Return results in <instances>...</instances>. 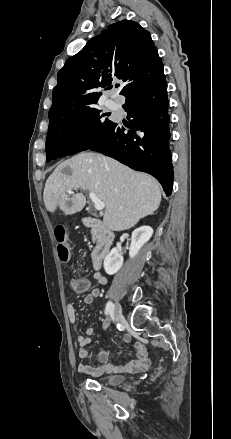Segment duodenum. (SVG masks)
I'll list each match as a JSON object with an SVG mask.
<instances>
[{
    "label": "duodenum",
    "instance_id": "1",
    "mask_svg": "<svg viewBox=\"0 0 231 439\" xmlns=\"http://www.w3.org/2000/svg\"><path fill=\"white\" fill-rule=\"evenodd\" d=\"M85 227L90 228L97 236L98 242L94 247L91 259L94 269H99L114 242V233L99 219L83 218Z\"/></svg>",
    "mask_w": 231,
    "mask_h": 439
}]
</instances>
